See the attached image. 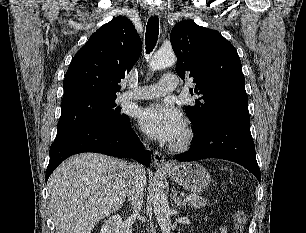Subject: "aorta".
<instances>
[{"label":"aorta","instance_id":"obj_1","mask_svg":"<svg viewBox=\"0 0 306 233\" xmlns=\"http://www.w3.org/2000/svg\"><path fill=\"white\" fill-rule=\"evenodd\" d=\"M176 63V56L172 50H159L151 58L149 67L151 71L160 70L173 66ZM154 214L163 233H170L171 221L167 195L160 183L156 184L153 192Z\"/></svg>","mask_w":306,"mask_h":233}]
</instances>
